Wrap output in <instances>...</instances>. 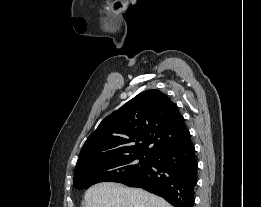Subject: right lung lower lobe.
<instances>
[{"label":"right lung lower lobe","instance_id":"98d812e1","mask_svg":"<svg viewBox=\"0 0 261 207\" xmlns=\"http://www.w3.org/2000/svg\"><path fill=\"white\" fill-rule=\"evenodd\" d=\"M198 164L189 139L183 145L153 155L148 166L119 183L143 188L174 207H193Z\"/></svg>","mask_w":261,"mask_h":207}]
</instances>
